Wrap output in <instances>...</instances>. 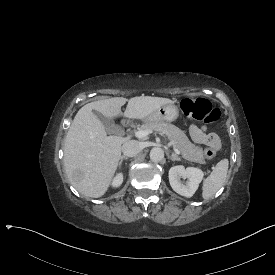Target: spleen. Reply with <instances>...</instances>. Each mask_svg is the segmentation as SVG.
<instances>
[{"mask_svg": "<svg viewBox=\"0 0 275 275\" xmlns=\"http://www.w3.org/2000/svg\"><path fill=\"white\" fill-rule=\"evenodd\" d=\"M228 166V159H223L219 161L214 167L211 174L204 179L202 187V197L204 199H209L213 197L216 192L222 187L227 177Z\"/></svg>", "mask_w": 275, "mask_h": 275, "instance_id": "spleen-1", "label": "spleen"}]
</instances>
